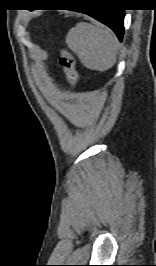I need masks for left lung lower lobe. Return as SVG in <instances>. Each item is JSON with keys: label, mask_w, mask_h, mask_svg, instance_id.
<instances>
[{"label": "left lung lower lobe", "mask_w": 156, "mask_h": 266, "mask_svg": "<svg viewBox=\"0 0 156 266\" xmlns=\"http://www.w3.org/2000/svg\"><path fill=\"white\" fill-rule=\"evenodd\" d=\"M94 2L99 3H107V0H96ZM75 11L84 12L98 21L104 23L108 27H110L118 36L120 40H122L123 32H124V10L122 9H113V8H83L76 9Z\"/></svg>", "instance_id": "1"}]
</instances>
